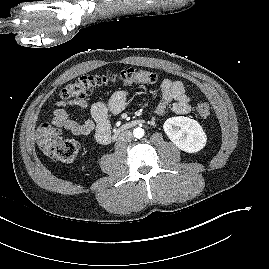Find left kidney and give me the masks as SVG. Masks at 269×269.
<instances>
[{
	"instance_id": "1",
	"label": "left kidney",
	"mask_w": 269,
	"mask_h": 269,
	"mask_svg": "<svg viewBox=\"0 0 269 269\" xmlns=\"http://www.w3.org/2000/svg\"><path fill=\"white\" fill-rule=\"evenodd\" d=\"M163 128L168 138L182 151L196 153L206 145V133L194 119L184 116L168 118Z\"/></svg>"
}]
</instances>
